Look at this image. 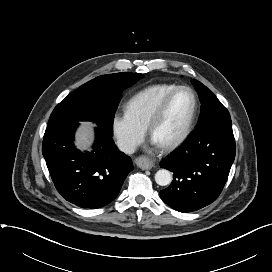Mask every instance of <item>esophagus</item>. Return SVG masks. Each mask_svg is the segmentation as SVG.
<instances>
[{
	"label": "esophagus",
	"mask_w": 272,
	"mask_h": 272,
	"mask_svg": "<svg viewBox=\"0 0 272 272\" xmlns=\"http://www.w3.org/2000/svg\"><path fill=\"white\" fill-rule=\"evenodd\" d=\"M135 163L139 168L143 170H148L153 167V162L146 156H140L136 158Z\"/></svg>",
	"instance_id": "obj_1"
}]
</instances>
